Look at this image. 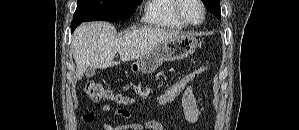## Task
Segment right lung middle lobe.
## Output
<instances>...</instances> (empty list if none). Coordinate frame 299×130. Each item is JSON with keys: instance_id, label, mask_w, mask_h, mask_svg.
<instances>
[{"instance_id": "1", "label": "right lung middle lobe", "mask_w": 299, "mask_h": 130, "mask_svg": "<svg viewBox=\"0 0 299 130\" xmlns=\"http://www.w3.org/2000/svg\"><path fill=\"white\" fill-rule=\"evenodd\" d=\"M143 0H78L73 21H118L133 14Z\"/></svg>"}]
</instances>
